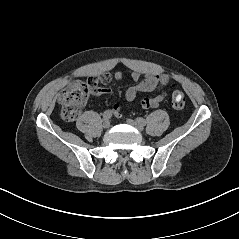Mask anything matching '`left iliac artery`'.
Wrapping results in <instances>:
<instances>
[{"mask_svg":"<svg viewBox=\"0 0 239 239\" xmlns=\"http://www.w3.org/2000/svg\"><path fill=\"white\" fill-rule=\"evenodd\" d=\"M136 120H137V122H139V123L142 124V125H145V124H146L145 119H143V118H141V117H138Z\"/></svg>","mask_w":239,"mask_h":239,"instance_id":"obj_1","label":"left iliac artery"}]
</instances>
